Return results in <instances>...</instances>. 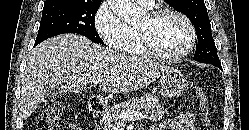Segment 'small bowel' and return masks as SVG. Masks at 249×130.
Listing matches in <instances>:
<instances>
[{"mask_svg": "<svg viewBox=\"0 0 249 130\" xmlns=\"http://www.w3.org/2000/svg\"><path fill=\"white\" fill-rule=\"evenodd\" d=\"M68 130H82L76 125H69ZM152 130H198L194 115L188 112L180 113L159 125L152 127Z\"/></svg>", "mask_w": 249, "mask_h": 130, "instance_id": "c3829d8e", "label": "small bowel"}]
</instances>
